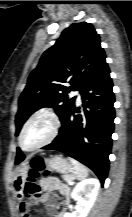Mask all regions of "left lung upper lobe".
<instances>
[{
  "instance_id": "1",
  "label": "left lung upper lobe",
  "mask_w": 132,
  "mask_h": 217,
  "mask_svg": "<svg viewBox=\"0 0 132 217\" xmlns=\"http://www.w3.org/2000/svg\"><path fill=\"white\" fill-rule=\"evenodd\" d=\"M105 59L100 37L90 23H73L66 28L56 43L44 52L28 78L19 98L15 135L28 117L43 107H53L61 120L74 106L75 97H69L68 93L81 90ZM21 155L24 156L19 149Z\"/></svg>"
}]
</instances>
